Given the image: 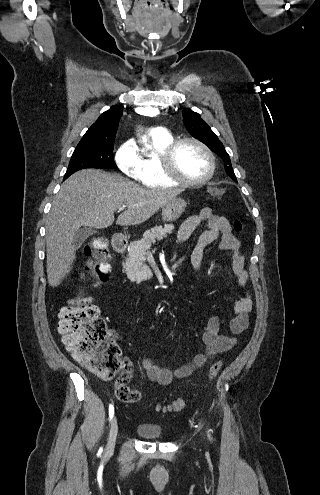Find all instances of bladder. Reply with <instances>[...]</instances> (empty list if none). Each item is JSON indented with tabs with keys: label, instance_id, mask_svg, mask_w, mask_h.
Returning <instances> with one entry per match:
<instances>
[{
	"label": "bladder",
	"instance_id": "31cf9c89",
	"mask_svg": "<svg viewBox=\"0 0 320 495\" xmlns=\"http://www.w3.org/2000/svg\"><path fill=\"white\" fill-rule=\"evenodd\" d=\"M136 431L139 436L145 439H159L163 435L162 427L155 423H141L137 426Z\"/></svg>",
	"mask_w": 320,
	"mask_h": 495
}]
</instances>
